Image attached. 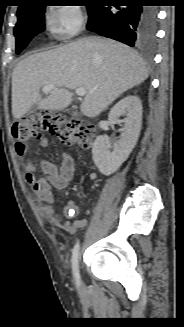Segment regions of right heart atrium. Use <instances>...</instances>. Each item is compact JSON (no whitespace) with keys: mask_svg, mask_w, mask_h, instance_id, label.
Here are the masks:
<instances>
[{"mask_svg":"<svg viewBox=\"0 0 184 327\" xmlns=\"http://www.w3.org/2000/svg\"><path fill=\"white\" fill-rule=\"evenodd\" d=\"M46 26L55 37L70 40L82 32L85 18L80 7L66 5L47 14Z\"/></svg>","mask_w":184,"mask_h":327,"instance_id":"right-heart-atrium-1","label":"right heart atrium"}]
</instances>
